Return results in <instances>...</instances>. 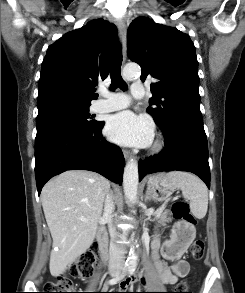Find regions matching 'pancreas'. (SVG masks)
Segmentation results:
<instances>
[{
    "label": "pancreas",
    "instance_id": "obj_1",
    "mask_svg": "<svg viewBox=\"0 0 245 293\" xmlns=\"http://www.w3.org/2000/svg\"><path fill=\"white\" fill-rule=\"evenodd\" d=\"M170 221H171V218L168 217V212H164V213L161 215V217H160L158 223H160L161 225L165 226L166 223H168V222H170Z\"/></svg>",
    "mask_w": 245,
    "mask_h": 293
}]
</instances>
